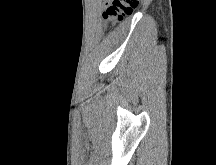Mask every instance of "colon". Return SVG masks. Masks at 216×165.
<instances>
[{
    "mask_svg": "<svg viewBox=\"0 0 216 165\" xmlns=\"http://www.w3.org/2000/svg\"><path fill=\"white\" fill-rule=\"evenodd\" d=\"M139 4L140 0H112L102 17L105 21L120 22L125 17L132 15Z\"/></svg>",
    "mask_w": 216,
    "mask_h": 165,
    "instance_id": "1",
    "label": "colon"
}]
</instances>
